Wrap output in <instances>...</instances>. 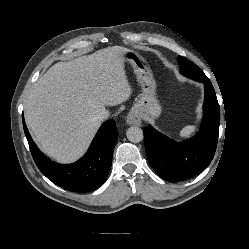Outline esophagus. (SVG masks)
Here are the masks:
<instances>
[{
	"mask_svg": "<svg viewBox=\"0 0 249 249\" xmlns=\"http://www.w3.org/2000/svg\"><path fill=\"white\" fill-rule=\"evenodd\" d=\"M126 122L128 125L140 126L141 125V117L136 112H130L127 116Z\"/></svg>",
	"mask_w": 249,
	"mask_h": 249,
	"instance_id": "obj_1",
	"label": "esophagus"
}]
</instances>
